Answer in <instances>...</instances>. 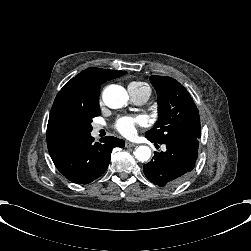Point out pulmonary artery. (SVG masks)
<instances>
[{
  "label": "pulmonary artery",
  "mask_w": 251,
  "mask_h": 251,
  "mask_svg": "<svg viewBox=\"0 0 251 251\" xmlns=\"http://www.w3.org/2000/svg\"><path fill=\"white\" fill-rule=\"evenodd\" d=\"M150 86V85H149ZM151 87V86H150ZM151 93H152V88H151ZM133 100L138 103V104H143L144 102H146V99H135L133 98ZM100 130V127H96L95 128V132L97 133Z\"/></svg>",
  "instance_id": "1"
}]
</instances>
